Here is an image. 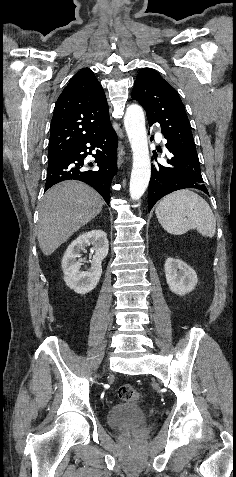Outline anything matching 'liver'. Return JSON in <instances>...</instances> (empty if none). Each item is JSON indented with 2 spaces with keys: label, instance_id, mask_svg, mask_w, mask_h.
Returning <instances> with one entry per match:
<instances>
[{
  "label": "liver",
  "instance_id": "obj_1",
  "mask_svg": "<svg viewBox=\"0 0 236 477\" xmlns=\"http://www.w3.org/2000/svg\"><path fill=\"white\" fill-rule=\"evenodd\" d=\"M102 197L90 186L73 180L50 188L39 204L37 239L46 256L51 255L103 208Z\"/></svg>",
  "mask_w": 236,
  "mask_h": 477
}]
</instances>
